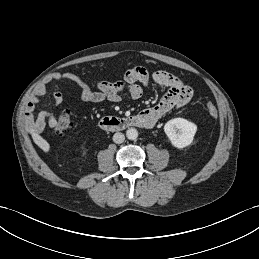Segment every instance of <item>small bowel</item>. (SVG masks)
Returning <instances> with one entry per match:
<instances>
[{
	"mask_svg": "<svg viewBox=\"0 0 259 259\" xmlns=\"http://www.w3.org/2000/svg\"><path fill=\"white\" fill-rule=\"evenodd\" d=\"M52 79L55 81L78 83L82 88L81 98L86 102H101L104 100L119 102L124 94H128L132 99H138L142 96L145 89L152 87L166 88L167 92L157 105L146 108L139 113L149 119L150 126H153L171 110L185 106L193 96L192 88L179 77L163 70L150 73L141 66L127 69L120 81L114 83L100 82L97 90H92L78 75L72 72H56L53 74ZM46 92L47 86L45 84L38 86L27 104L25 112L26 122L31 131L35 133L43 132L46 127L53 129L57 122L56 117L48 111H41L35 115L40 98ZM53 101L55 105L61 102V94L59 92L53 93Z\"/></svg>",
	"mask_w": 259,
	"mask_h": 259,
	"instance_id": "1",
	"label": "small bowel"
}]
</instances>
